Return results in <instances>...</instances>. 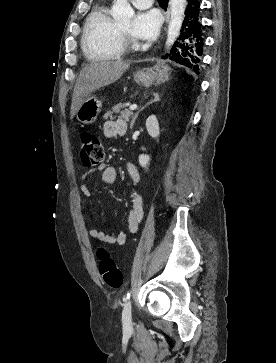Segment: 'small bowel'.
Wrapping results in <instances>:
<instances>
[{
	"instance_id": "small-bowel-1",
	"label": "small bowel",
	"mask_w": 276,
	"mask_h": 363,
	"mask_svg": "<svg viewBox=\"0 0 276 363\" xmlns=\"http://www.w3.org/2000/svg\"><path fill=\"white\" fill-rule=\"evenodd\" d=\"M127 130V123L123 119L107 120L103 125V134L106 138H113L123 136ZM126 170L131 178L133 189L131 192V206L128 212V231L129 234L134 235L137 233L139 226L143 219V199L137 185L140 181V175L135 165L128 163ZM101 173V180L105 184H113L117 180V171L113 166L100 164L86 171L80 177L79 191L87 198H91V192L83 181L90 175ZM87 234L90 238L104 243L113 245H124L127 241V234L120 233H107L95 227H88Z\"/></svg>"
}]
</instances>
